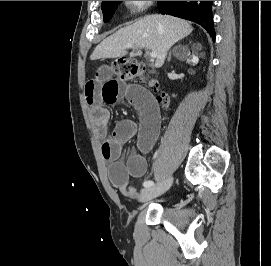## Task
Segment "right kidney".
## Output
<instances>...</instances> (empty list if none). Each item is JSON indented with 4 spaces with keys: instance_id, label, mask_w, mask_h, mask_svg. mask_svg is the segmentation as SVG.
<instances>
[{
    "instance_id": "1",
    "label": "right kidney",
    "mask_w": 271,
    "mask_h": 266,
    "mask_svg": "<svg viewBox=\"0 0 271 266\" xmlns=\"http://www.w3.org/2000/svg\"><path fill=\"white\" fill-rule=\"evenodd\" d=\"M188 56H190V52L187 53ZM189 62H191L192 64H196L198 63L199 59L198 57L192 55L190 59H188Z\"/></svg>"
}]
</instances>
